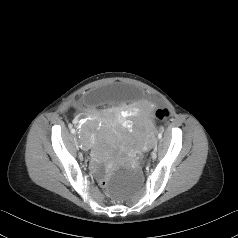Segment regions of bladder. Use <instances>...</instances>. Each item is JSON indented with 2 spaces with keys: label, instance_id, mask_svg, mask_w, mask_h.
<instances>
[{
  "label": "bladder",
  "instance_id": "obj_1",
  "mask_svg": "<svg viewBox=\"0 0 238 238\" xmlns=\"http://www.w3.org/2000/svg\"><path fill=\"white\" fill-rule=\"evenodd\" d=\"M142 93L137 88H132L129 85L114 83L109 86H103L94 91H90L85 96V101L90 106L108 103L111 105H122L128 100L132 103H137L141 100Z\"/></svg>",
  "mask_w": 238,
  "mask_h": 238
}]
</instances>
